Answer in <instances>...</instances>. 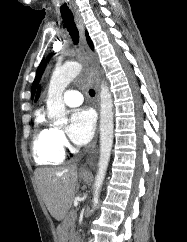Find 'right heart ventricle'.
<instances>
[{"mask_svg": "<svg viewBox=\"0 0 187 242\" xmlns=\"http://www.w3.org/2000/svg\"><path fill=\"white\" fill-rule=\"evenodd\" d=\"M55 132L44 111L38 110L34 119L33 156L39 165H57L64 160V151L55 141Z\"/></svg>", "mask_w": 187, "mask_h": 242, "instance_id": "obj_1", "label": "right heart ventricle"}]
</instances>
